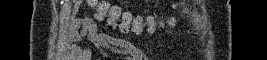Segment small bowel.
<instances>
[{"instance_id": "obj_1", "label": "small bowel", "mask_w": 267, "mask_h": 60, "mask_svg": "<svg viewBox=\"0 0 267 60\" xmlns=\"http://www.w3.org/2000/svg\"><path fill=\"white\" fill-rule=\"evenodd\" d=\"M83 38L95 44L121 46L123 49L136 54L139 58L144 55L143 51L133 43L100 32L97 25L90 17H81L72 20L66 35L67 41L71 44ZM73 49L80 52L83 56H88L92 52L89 47L77 48L73 46Z\"/></svg>"}]
</instances>
